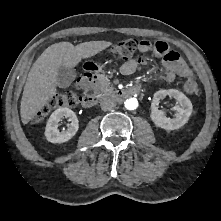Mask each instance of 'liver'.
Instances as JSON below:
<instances>
[{"mask_svg": "<svg viewBox=\"0 0 221 221\" xmlns=\"http://www.w3.org/2000/svg\"><path fill=\"white\" fill-rule=\"evenodd\" d=\"M109 41H90L74 46L59 42L49 46L34 62L21 99L20 114L27 124L57 92L59 66L73 68L82 58H89L111 46Z\"/></svg>", "mask_w": 221, "mask_h": 221, "instance_id": "1", "label": "liver"}]
</instances>
